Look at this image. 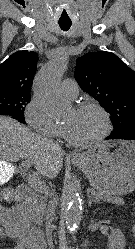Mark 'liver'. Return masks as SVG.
<instances>
[{
    "instance_id": "1",
    "label": "liver",
    "mask_w": 135,
    "mask_h": 249,
    "mask_svg": "<svg viewBox=\"0 0 135 249\" xmlns=\"http://www.w3.org/2000/svg\"><path fill=\"white\" fill-rule=\"evenodd\" d=\"M64 155L58 144L31 132L10 117L0 116V162L29 159L39 174L55 178L62 168ZM4 180L7 177H2L0 184Z\"/></svg>"
}]
</instances>
